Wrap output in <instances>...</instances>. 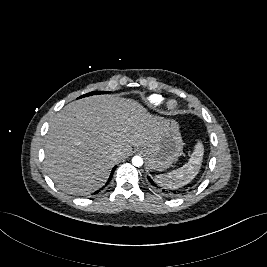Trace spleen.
<instances>
[{
	"label": "spleen",
	"mask_w": 267,
	"mask_h": 267,
	"mask_svg": "<svg viewBox=\"0 0 267 267\" xmlns=\"http://www.w3.org/2000/svg\"><path fill=\"white\" fill-rule=\"evenodd\" d=\"M204 147L201 142L195 145L189 161L177 170L156 176L157 182L167 188L176 189L188 184L199 172L203 160Z\"/></svg>",
	"instance_id": "spleen-1"
}]
</instances>
